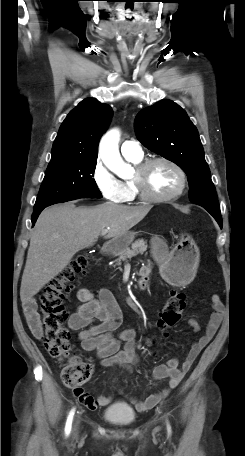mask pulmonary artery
Returning a JSON list of instances; mask_svg holds the SVG:
<instances>
[{"label": "pulmonary artery", "instance_id": "e3ab8cb5", "mask_svg": "<svg viewBox=\"0 0 245 456\" xmlns=\"http://www.w3.org/2000/svg\"><path fill=\"white\" fill-rule=\"evenodd\" d=\"M121 153L124 157L140 158L143 156V151L138 142L134 140H126L121 145Z\"/></svg>", "mask_w": 245, "mask_h": 456}]
</instances>
